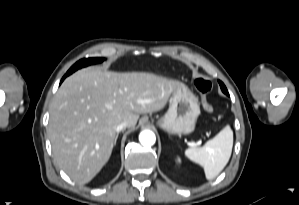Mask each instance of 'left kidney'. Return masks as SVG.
Returning <instances> with one entry per match:
<instances>
[{"label": "left kidney", "mask_w": 299, "mask_h": 205, "mask_svg": "<svg viewBox=\"0 0 299 205\" xmlns=\"http://www.w3.org/2000/svg\"><path fill=\"white\" fill-rule=\"evenodd\" d=\"M178 161H179V162H181V159H180V158H178Z\"/></svg>", "instance_id": "1"}]
</instances>
